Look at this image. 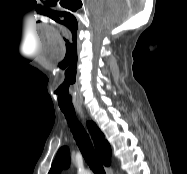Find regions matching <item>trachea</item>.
Instances as JSON below:
<instances>
[{
    "instance_id": "trachea-1",
    "label": "trachea",
    "mask_w": 187,
    "mask_h": 174,
    "mask_svg": "<svg viewBox=\"0 0 187 174\" xmlns=\"http://www.w3.org/2000/svg\"><path fill=\"white\" fill-rule=\"evenodd\" d=\"M61 110L65 115L74 139L76 140V143L89 167L92 169L94 174H106L88 134L76 116L74 108H61Z\"/></svg>"
}]
</instances>
